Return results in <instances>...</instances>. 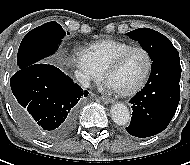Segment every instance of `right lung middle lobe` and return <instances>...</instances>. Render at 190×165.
<instances>
[{
  "label": "right lung middle lobe",
  "mask_w": 190,
  "mask_h": 165,
  "mask_svg": "<svg viewBox=\"0 0 190 165\" xmlns=\"http://www.w3.org/2000/svg\"><path fill=\"white\" fill-rule=\"evenodd\" d=\"M64 36L65 31L61 25L53 21L31 30L19 46L18 69L43 62L44 58L54 53Z\"/></svg>",
  "instance_id": "1"
}]
</instances>
